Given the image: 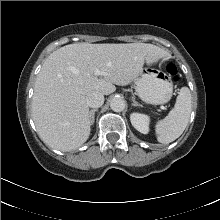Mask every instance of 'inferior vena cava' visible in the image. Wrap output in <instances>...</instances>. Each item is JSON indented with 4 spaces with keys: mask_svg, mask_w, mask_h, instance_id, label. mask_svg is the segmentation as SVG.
Wrapping results in <instances>:
<instances>
[{
    "mask_svg": "<svg viewBox=\"0 0 220 220\" xmlns=\"http://www.w3.org/2000/svg\"><path fill=\"white\" fill-rule=\"evenodd\" d=\"M86 103L89 107L98 108L104 103V95L100 92H90L86 97Z\"/></svg>",
    "mask_w": 220,
    "mask_h": 220,
    "instance_id": "obj_1",
    "label": "inferior vena cava"
}]
</instances>
